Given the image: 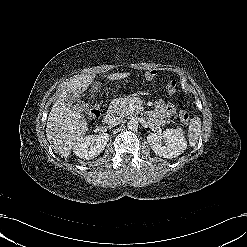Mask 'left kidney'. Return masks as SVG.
Instances as JSON below:
<instances>
[{
	"instance_id": "left-kidney-1",
	"label": "left kidney",
	"mask_w": 247,
	"mask_h": 247,
	"mask_svg": "<svg viewBox=\"0 0 247 247\" xmlns=\"http://www.w3.org/2000/svg\"><path fill=\"white\" fill-rule=\"evenodd\" d=\"M147 141L155 154L168 159L178 157L187 147V141L181 129H166L161 134L150 133Z\"/></svg>"
}]
</instances>
